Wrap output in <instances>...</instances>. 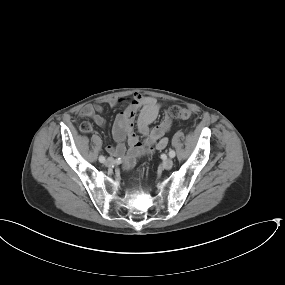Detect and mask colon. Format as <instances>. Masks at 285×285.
Wrapping results in <instances>:
<instances>
[{
    "label": "colon",
    "mask_w": 285,
    "mask_h": 285,
    "mask_svg": "<svg viewBox=\"0 0 285 285\" xmlns=\"http://www.w3.org/2000/svg\"><path fill=\"white\" fill-rule=\"evenodd\" d=\"M168 115L174 119H187L191 112L187 107L176 105L169 108Z\"/></svg>",
    "instance_id": "colon-1"
}]
</instances>
